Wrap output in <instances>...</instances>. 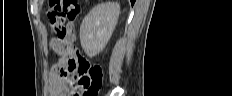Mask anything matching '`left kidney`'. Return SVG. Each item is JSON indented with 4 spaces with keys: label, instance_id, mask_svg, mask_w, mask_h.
<instances>
[{
    "label": "left kidney",
    "instance_id": "1",
    "mask_svg": "<svg viewBox=\"0 0 232 96\" xmlns=\"http://www.w3.org/2000/svg\"><path fill=\"white\" fill-rule=\"evenodd\" d=\"M120 14L116 2L101 3L94 7L83 19L80 26V41L89 57L99 54L108 43Z\"/></svg>",
    "mask_w": 232,
    "mask_h": 96
}]
</instances>
